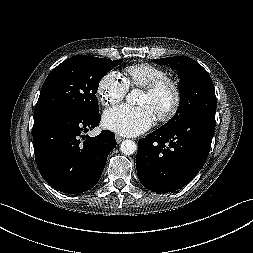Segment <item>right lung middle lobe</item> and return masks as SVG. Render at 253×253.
Returning a JSON list of instances; mask_svg holds the SVG:
<instances>
[{
	"label": "right lung middle lobe",
	"mask_w": 253,
	"mask_h": 253,
	"mask_svg": "<svg viewBox=\"0 0 253 253\" xmlns=\"http://www.w3.org/2000/svg\"><path fill=\"white\" fill-rule=\"evenodd\" d=\"M122 60L75 56L54 68L46 78L34 114L64 111L81 117L99 113L95 96L99 82Z\"/></svg>",
	"instance_id": "right-lung-middle-lobe-1"
}]
</instances>
